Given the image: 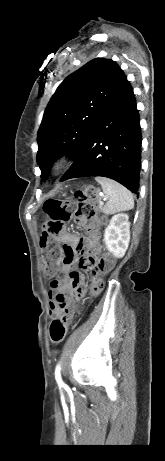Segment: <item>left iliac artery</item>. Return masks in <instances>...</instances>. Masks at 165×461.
<instances>
[{
  "label": "left iliac artery",
  "mask_w": 165,
  "mask_h": 461,
  "mask_svg": "<svg viewBox=\"0 0 165 461\" xmlns=\"http://www.w3.org/2000/svg\"><path fill=\"white\" fill-rule=\"evenodd\" d=\"M55 377H56V381L58 382V384L62 385L63 382H62L61 376H60V367H59V365H57V367H56Z\"/></svg>",
  "instance_id": "left-iliac-artery-1"
}]
</instances>
